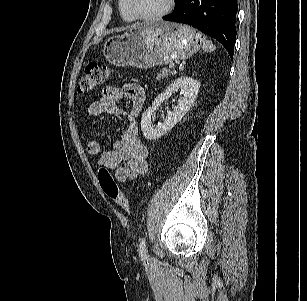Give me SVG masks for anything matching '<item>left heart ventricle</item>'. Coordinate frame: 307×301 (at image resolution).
<instances>
[{
	"instance_id": "obj_1",
	"label": "left heart ventricle",
	"mask_w": 307,
	"mask_h": 301,
	"mask_svg": "<svg viewBox=\"0 0 307 301\" xmlns=\"http://www.w3.org/2000/svg\"><path fill=\"white\" fill-rule=\"evenodd\" d=\"M135 8L143 15H151L162 11L168 0H132Z\"/></svg>"
}]
</instances>
